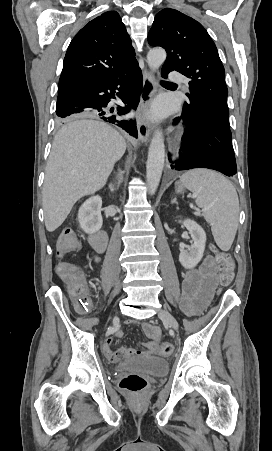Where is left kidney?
Wrapping results in <instances>:
<instances>
[{
  "mask_svg": "<svg viewBox=\"0 0 272 451\" xmlns=\"http://www.w3.org/2000/svg\"><path fill=\"white\" fill-rule=\"evenodd\" d=\"M179 224H183V226L189 229V233L194 241L188 249H183V251H180L179 261L182 263L183 267H186V269H192V267H195V265H197L203 257L206 243V233L203 227L199 226V224L194 222V220H184V222L179 220Z\"/></svg>",
  "mask_w": 272,
  "mask_h": 451,
  "instance_id": "obj_1",
  "label": "left kidney"
}]
</instances>
